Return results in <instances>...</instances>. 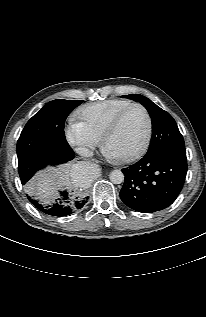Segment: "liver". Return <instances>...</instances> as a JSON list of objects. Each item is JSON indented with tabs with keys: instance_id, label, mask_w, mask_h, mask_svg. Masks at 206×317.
I'll list each match as a JSON object with an SVG mask.
<instances>
[{
	"instance_id": "1",
	"label": "liver",
	"mask_w": 206,
	"mask_h": 317,
	"mask_svg": "<svg viewBox=\"0 0 206 317\" xmlns=\"http://www.w3.org/2000/svg\"><path fill=\"white\" fill-rule=\"evenodd\" d=\"M68 179V167H60L59 169L48 168L45 171L40 172L36 179L37 195L41 200L49 203L57 196V187L59 186V180Z\"/></svg>"
}]
</instances>
